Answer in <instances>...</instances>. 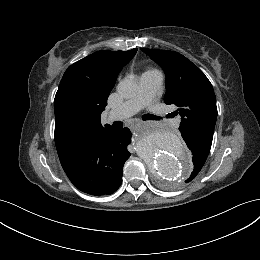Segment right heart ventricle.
Instances as JSON below:
<instances>
[{"mask_svg":"<svg viewBox=\"0 0 260 260\" xmlns=\"http://www.w3.org/2000/svg\"><path fill=\"white\" fill-rule=\"evenodd\" d=\"M151 71H155V70H148V71H146V72H151ZM146 72H144V73H146ZM144 73H143V74H144Z\"/></svg>","mask_w":260,"mask_h":260,"instance_id":"right-heart-ventricle-1","label":"right heart ventricle"}]
</instances>
